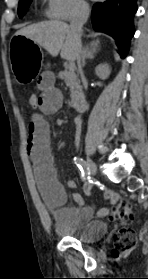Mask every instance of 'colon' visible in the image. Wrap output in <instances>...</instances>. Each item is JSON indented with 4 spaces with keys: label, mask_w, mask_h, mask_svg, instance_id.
Segmentation results:
<instances>
[{
    "label": "colon",
    "mask_w": 148,
    "mask_h": 279,
    "mask_svg": "<svg viewBox=\"0 0 148 279\" xmlns=\"http://www.w3.org/2000/svg\"><path fill=\"white\" fill-rule=\"evenodd\" d=\"M30 107L35 108L38 104V96L30 94L27 98ZM110 220H119L121 222H129L133 219L131 206L127 201H118L111 209L109 215ZM136 244V236L132 229L123 227L119 229L113 240V256L122 257L130 252Z\"/></svg>",
    "instance_id": "5ec220e1"
}]
</instances>
